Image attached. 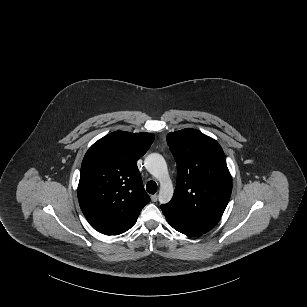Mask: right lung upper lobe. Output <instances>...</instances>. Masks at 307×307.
<instances>
[{"instance_id":"obj_1","label":"right lung upper lobe","mask_w":307,"mask_h":307,"mask_svg":"<svg viewBox=\"0 0 307 307\" xmlns=\"http://www.w3.org/2000/svg\"><path fill=\"white\" fill-rule=\"evenodd\" d=\"M152 133L116 131L94 143L84 156L78 185L81 210L97 231L117 235L136 222L150 198L137 160L154 140Z\"/></svg>"}]
</instances>
